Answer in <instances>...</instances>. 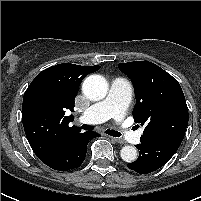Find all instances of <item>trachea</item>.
Instances as JSON below:
<instances>
[{
  "label": "trachea",
  "instance_id": "3493384b",
  "mask_svg": "<svg viewBox=\"0 0 201 201\" xmlns=\"http://www.w3.org/2000/svg\"><path fill=\"white\" fill-rule=\"evenodd\" d=\"M82 129L84 130H93V127L90 126V125H87V124H83L81 126ZM106 134L110 135V136H113V137H120L121 136V133L115 131V130H110V129H107L105 131Z\"/></svg>",
  "mask_w": 201,
  "mask_h": 201
}]
</instances>
